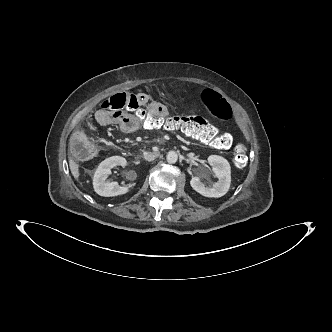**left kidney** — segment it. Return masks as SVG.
I'll return each instance as SVG.
<instances>
[{
	"mask_svg": "<svg viewBox=\"0 0 332 332\" xmlns=\"http://www.w3.org/2000/svg\"><path fill=\"white\" fill-rule=\"evenodd\" d=\"M208 163L212 167V172L218 178V182L214 183L212 187H206L199 177H192L190 185L195 191L205 197L218 198L225 195L230 188V164L226 159L218 155H210Z\"/></svg>",
	"mask_w": 332,
	"mask_h": 332,
	"instance_id": "left-kidney-1",
	"label": "left kidney"
}]
</instances>
